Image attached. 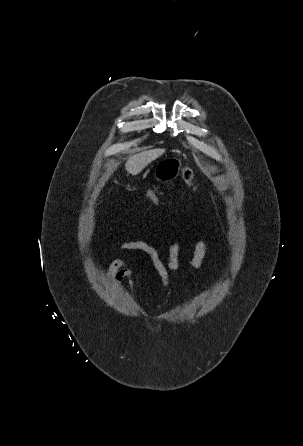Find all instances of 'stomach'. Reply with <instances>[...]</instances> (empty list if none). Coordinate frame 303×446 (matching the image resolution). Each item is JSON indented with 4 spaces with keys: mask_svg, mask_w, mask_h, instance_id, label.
Here are the masks:
<instances>
[{
    "mask_svg": "<svg viewBox=\"0 0 303 446\" xmlns=\"http://www.w3.org/2000/svg\"><path fill=\"white\" fill-rule=\"evenodd\" d=\"M182 162L176 157H169L161 161L154 170V179L161 183L176 179L181 171Z\"/></svg>",
    "mask_w": 303,
    "mask_h": 446,
    "instance_id": "obj_1",
    "label": "stomach"
}]
</instances>
